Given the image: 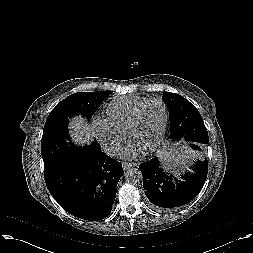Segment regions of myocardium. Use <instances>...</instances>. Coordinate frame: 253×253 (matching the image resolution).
Segmentation results:
<instances>
[{"label":"myocardium","mask_w":253,"mask_h":253,"mask_svg":"<svg viewBox=\"0 0 253 253\" xmlns=\"http://www.w3.org/2000/svg\"><path fill=\"white\" fill-rule=\"evenodd\" d=\"M152 102H160L162 104V106L164 108V122H163L161 132H160L158 138L156 139V141L151 146L146 148V151H148V152H152V151L156 150L161 145V143L165 137L166 131H167L168 122H169V110H168V105L164 99L159 98V97H153V98H149L145 102H143L134 112V114H133V116L126 128V131H125L126 136L129 137L132 130L137 125L142 111L144 110V108L147 105H149Z\"/></svg>","instance_id":"1"}]
</instances>
